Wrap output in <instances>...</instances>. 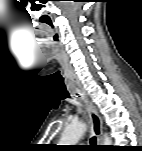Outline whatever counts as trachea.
Returning <instances> with one entry per match:
<instances>
[{"instance_id":"1","label":"trachea","mask_w":142,"mask_h":151,"mask_svg":"<svg viewBox=\"0 0 142 151\" xmlns=\"http://www.w3.org/2000/svg\"><path fill=\"white\" fill-rule=\"evenodd\" d=\"M64 97L66 98V97H70V95L68 94V93H66L65 95H64ZM90 143L92 144V145H96V137H92L91 139H90Z\"/></svg>"}]
</instances>
